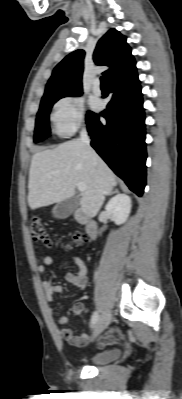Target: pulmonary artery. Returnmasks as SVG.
I'll use <instances>...</instances> for the list:
<instances>
[{"instance_id":"e3ab8cb5","label":"pulmonary artery","mask_w":182,"mask_h":399,"mask_svg":"<svg viewBox=\"0 0 182 399\" xmlns=\"http://www.w3.org/2000/svg\"><path fill=\"white\" fill-rule=\"evenodd\" d=\"M93 93L97 96H100L102 93L101 87H100V82L98 79H96L94 81V85H93Z\"/></svg>"}]
</instances>
